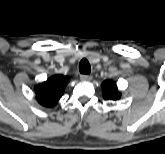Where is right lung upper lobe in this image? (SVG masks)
I'll return each instance as SVG.
<instances>
[{"label": "right lung upper lobe", "mask_w": 165, "mask_h": 154, "mask_svg": "<svg viewBox=\"0 0 165 154\" xmlns=\"http://www.w3.org/2000/svg\"><path fill=\"white\" fill-rule=\"evenodd\" d=\"M68 76L54 75L35 87L38 102L45 107L54 106L63 95Z\"/></svg>", "instance_id": "cb5924a9"}]
</instances>
